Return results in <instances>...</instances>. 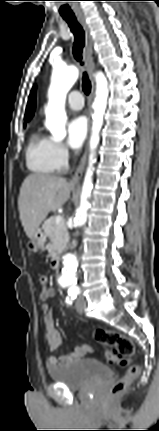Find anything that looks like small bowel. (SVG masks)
<instances>
[{
  "label": "small bowel",
  "mask_w": 159,
  "mask_h": 431,
  "mask_svg": "<svg viewBox=\"0 0 159 431\" xmlns=\"http://www.w3.org/2000/svg\"><path fill=\"white\" fill-rule=\"evenodd\" d=\"M48 274L45 272L40 273V285H41V292H40V299L43 302L42 311H43V322H44V329L46 332V343L49 352L53 353L55 352L60 345V336L58 331L55 328L54 319L50 310L49 305L46 303V301L49 299L48 297V286L49 280ZM91 347L87 344H82L77 347H75L68 355L65 356H55L51 355L47 360L48 367H59L67 365L77 359L82 358L86 354L90 353Z\"/></svg>",
  "instance_id": "obj_1"
}]
</instances>
